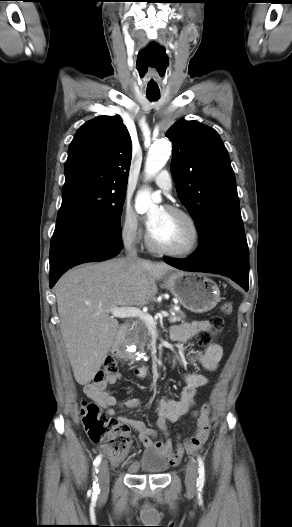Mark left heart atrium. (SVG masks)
<instances>
[{"mask_svg": "<svg viewBox=\"0 0 292 527\" xmlns=\"http://www.w3.org/2000/svg\"><path fill=\"white\" fill-rule=\"evenodd\" d=\"M158 217H159V212L152 213L148 216V218L146 219V225L149 230L155 226V224L157 223Z\"/></svg>", "mask_w": 292, "mask_h": 527, "instance_id": "1", "label": "left heart atrium"}]
</instances>
